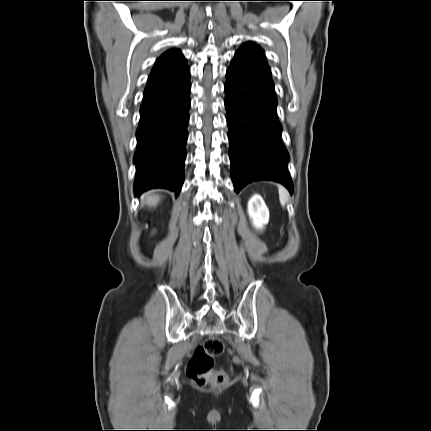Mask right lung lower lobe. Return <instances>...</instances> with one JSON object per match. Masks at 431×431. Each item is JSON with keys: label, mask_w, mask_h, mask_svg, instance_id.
I'll list each match as a JSON object with an SVG mask.
<instances>
[{"label": "right lung lower lobe", "mask_w": 431, "mask_h": 431, "mask_svg": "<svg viewBox=\"0 0 431 431\" xmlns=\"http://www.w3.org/2000/svg\"><path fill=\"white\" fill-rule=\"evenodd\" d=\"M190 90L188 75L165 92L143 100L134 155L136 196L152 188L180 192L184 182Z\"/></svg>", "instance_id": "1"}]
</instances>
